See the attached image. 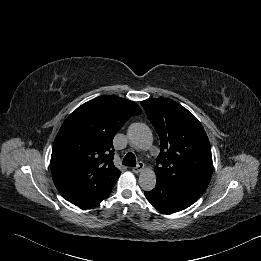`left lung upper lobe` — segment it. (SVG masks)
<instances>
[{"label": "left lung upper lobe", "mask_w": 261, "mask_h": 261, "mask_svg": "<svg viewBox=\"0 0 261 261\" xmlns=\"http://www.w3.org/2000/svg\"><path fill=\"white\" fill-rule=\"evenodd\" d=\"M160 137L157 181L204 193L212 176L210 143L197 118L169 98L141 102Z\"/></svg>", "instance_id": "5c2ea615"}]
</instances>
